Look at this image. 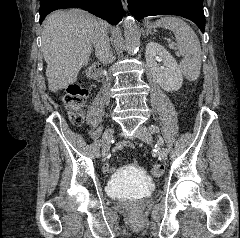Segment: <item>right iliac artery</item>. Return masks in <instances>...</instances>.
<instances>
[{"label":"right iliac artery","instance_id":"82829eb1","mask_svg":"<svg viewBox=\"0 0 240 238\" xmlns=\"http://www.w3.org/2000/svg\"><path fill=\"white\" fill-rule=\"evenodd\" d=\"M96 144H97V145H95V147H94V148H95V149H94V150H95V151H94V154H95L96 157H99L100 154H101V151H100V150H101V149H100V148H101V147H100L101 141H100V140H97V141H96Z\"/></svg>","mask_w":240,"mask_h":238}]
</instances>
